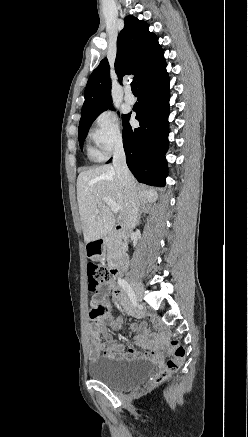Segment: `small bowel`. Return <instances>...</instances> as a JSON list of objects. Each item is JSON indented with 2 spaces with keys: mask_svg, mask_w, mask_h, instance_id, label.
I'll return each instance as SVG.
<instances>
[{
  "mask_svg": "<svg viewBox=\"0 0 248 437\" xmlns=\"http://www.w3.org/2000/svg\"><path fill=\"white\" fill-rule=\"evenodd\" d=\"M108 294H112L114 301L125 311L139 318L143 316L142 313L134 310L123 289L115 285L113 281H108L105 285H100L99 292L93 299V302H97L100 305H89L87 307V312L90 314L93 323L90 333L91 359H97L102 353L109 358L120 360L131 359L139 355L136 347H141L147 350L143 356L154 354L157 347L156 340L143 326L133 325L131 327L132 330L137 332L135 345L119 344L111 338L106 328V324H110L114 328H119L120 322L112 321L108 317Z\"/></svg>",
  "mask_w": 248,
  "mask_h": 437,
  "instance_id": "c3829d8e",
  "label": "small bowel"
}]
</instances>
